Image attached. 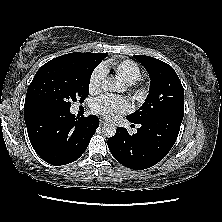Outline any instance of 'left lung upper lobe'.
Segmentation results:
<instances>
[{
	"instance_id": "1",
	"label": "left lung upper lobe",
	"mask_w": 222,
	"mask_h": 222,
	"mask_svg": "<svg viewBox=\"0 0 222 222\" xmlns=\"http://www.w3.org/2000/svg\"><path fill=\"white\" fill-rule=\"evenodd\" d=\"M149 72L150 90L144 104L127 119L140 123L149 118L170 114L184 116V89L174 69L165 62L145 55H134Z\"/></svg>"
}]
</instances>
